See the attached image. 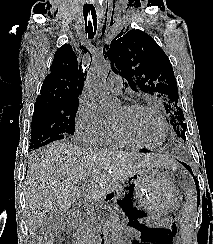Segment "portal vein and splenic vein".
<instances>
[{"mask_svg":"<svg viewBox=\"0 0 213 244\" xmlns=\"http://www.w3.org/2000/svg\"><path fill=\"white\" fill-rule=\"evenodd\" d=\"M90 186V183H84L83 184V188H87V187H89Z\"/></svg>","mask_w":213,"mask_h":244,"instance_id":"portal-vein-and-splenic-vein-1","label":"portal vein and splenic vein"}]
</instances>
